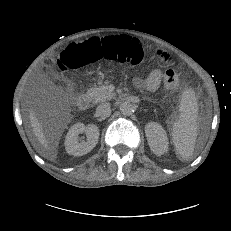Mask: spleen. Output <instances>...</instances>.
Wrapping results in <instances>:
<instances>
[{
    "instance_id": "1",
    "label": "spleen",
    "mask_w": 231,
    "mask_h": 231,
    "mask_svg": "<svg viewBox=\"0 0 231 231\" xmlns=\"http://www.w3.org/2000/svg\"><path fill=\"white\" fill-rule=\"evenodd\" d=\"M179 110V119L173 123L171 129L172 143L176 154L182 160H188L194 153L198 133V106L192 89L183 92Z\"/></svg>"
}]
</instances>
